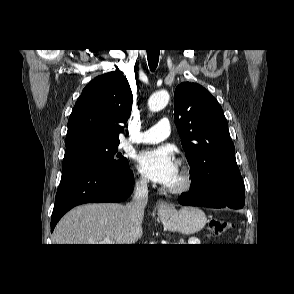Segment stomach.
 <instances>
[{"label": "stomach", "mask_w": 294, "mask_h": 294, "mask_svg": "<svg viewBox=\"0 0 294 294\" xmlns=\"http://www.w3.org/2000/svg\"><path fill=\"white\" fill-rule=\"evenodd\" d=\"M163 225L170 231H178L189 235L200 231L206 224L205 213L196 207H173L159 213Z\"/></svg>", "instance_id": "obj_1"}]
</instances>
